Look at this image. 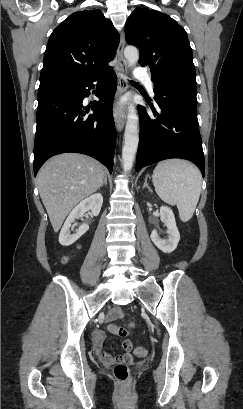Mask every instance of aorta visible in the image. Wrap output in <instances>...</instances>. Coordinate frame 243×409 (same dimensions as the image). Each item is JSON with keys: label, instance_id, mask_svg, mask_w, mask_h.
<instances>
[{"label": "aorta", "instance_id": "762f6f07", "mask_svg": "<svg viewBox=\"0 0 243 409\" xmlns=\"http://www.w3.org/2000/svg\"><path fill=\"white\" fill-rule=\"evenodd\" d=\"M124 56L129 66H134L139 60V52L136 47L127 46L124 50ZM139 118L135 106L130 104L124 133V145L122 148L123 169L129 172L134 164L137 147L139 143Z\"/></svg>", "mask_w": 243, "mask_h": 409}]
</instances>
